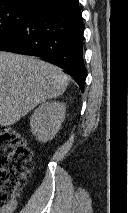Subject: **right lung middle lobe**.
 Segmentation results:
<instances>
[{
  "label": "right lung middle lobe",
  "instance_id": "dd1d6c3e",
  "mask_svg": "<svg viewBox=\"0 0 128 213\" xmlns=\"http://www.w3.org/2000/svg\"><path fill=\"white\" fill-rule=\"evenodd\" d=\"M31 9L12 5L0 7V41L22 24Z\"/></svg>",
  "mask_w": 128,
  "mask_h": 213
}]
</instances>
